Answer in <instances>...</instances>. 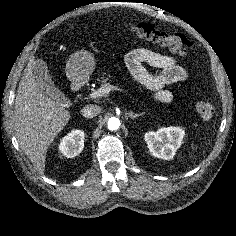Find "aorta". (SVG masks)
Here are the masks:
<instances>
[{
    "mask_svg": "<svg viewBox=\"0 0 236 236\" xmlns=\"http://www.w3.org/2000/svg\"><path fill=\"white\" fill-rule=\"evenodd\" d=\"M120 120L116 117H111L108 120V129L111 131L117 130L120 127Z\"/></svg>",
    "mask_w": 236,
    "mask_h": 236,
    "instance_id": "obj_1",
    "label": "aorta"
}]
</instances>
